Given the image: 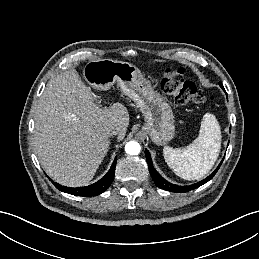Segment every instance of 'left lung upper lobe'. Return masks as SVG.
Segmentation results:
<instances>
[{
    "instance_id": "5c2ea615",
    "label": "left lung upper lobe",
    "mask_w": 259,
    "mask_h": 259,
    "mask_svg": "<svg viewBox=\"0 0 259 259\" xmlns=\"http://www.w3.org/2000/svg\"><path fill=\"white\" fill-rule=\"evenodd\" d=\"M219 85H220V86H221V88L224 90V87H223L222 83H219Z\"/></svg>"
}]
</instances>
